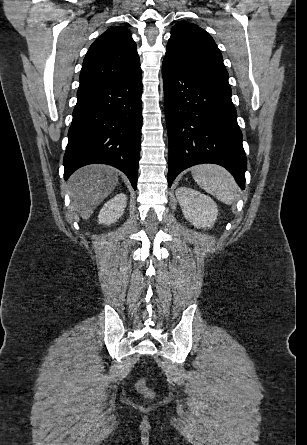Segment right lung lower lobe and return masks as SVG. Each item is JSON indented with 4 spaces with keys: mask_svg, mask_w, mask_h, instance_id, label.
Instances as JSON below:
<instances>
[{
    "mask_svg": "<svg viewBox=\"0 0 307 445\" xmlns=\"http://www.w3.org/2000/svg\"><path fill=\"white\" fill-rule=\"evenodd\" d=\"M142 72L79 88L64 155V179L92 163L123 171L137 188L142 127Z\"/></svg>",
    "mask_w": 307,
    "mask_h": 445,
    "instance_id": "98d812e1",
    "label": "right lung lower lobe"
}]
</instances>
